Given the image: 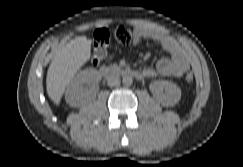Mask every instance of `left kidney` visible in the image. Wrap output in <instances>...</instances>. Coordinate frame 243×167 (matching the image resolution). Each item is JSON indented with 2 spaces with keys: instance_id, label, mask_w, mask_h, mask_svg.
<instances>
[{
  "instance_id": "obj_1",
  "label": "left kidney",
  "mask_w": 243,
  "mask_h": 167,
  "mask_svg": "<svg viewBox=\"0 0 243 167\" xmlns=\"http://www.w3.org/2000/svg\"><path fill=\"white\" fill-rule=\"evenodd\" d=\"M149 89L155 100L166 107L174 106L181 99V89L171 81H154L150 83Z\"/></svg>"
}]
</instances>
